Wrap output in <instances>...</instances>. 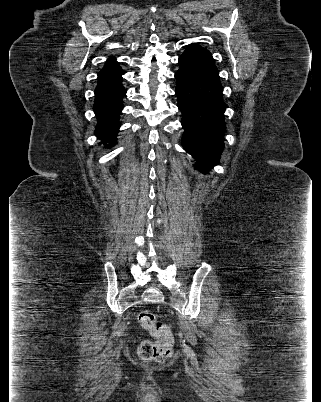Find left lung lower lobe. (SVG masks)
<instances>
[{
	"instance_id": "0a47b994",
	"label": "left lung lower lobe",
	"mask_w": 321,
	"mask_h": 402,
	"mask_svg": "<svg viewBox=\"0 0 321 402\" xmlns=\"http://www.w3.org/2000/svg\"><path fill=\"white\" fill-rule=\"evenodd\" d=\"M175 78L184 129L182 145L197 160V169L212 168L224 148L226 105L211 53L196 43L188 45L179 57Z\"/></svg>"
}]
</instances>
